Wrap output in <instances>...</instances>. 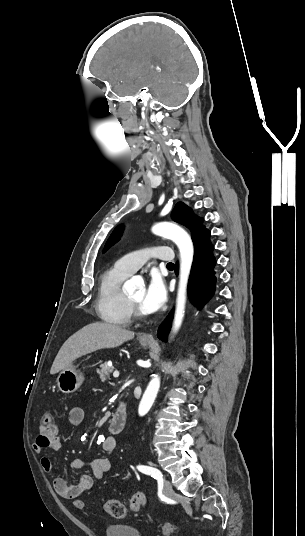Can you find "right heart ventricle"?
<instances>
[{"label":"right heart ventricle","mask_w":305,"mask_h":536,"mask_svg":"<svg viewBox=\"0 0 305 536\" xmlns=\"http://www.w3.org/2000/svg\"><path fill=\"white\" fill-rule=\"evenodd\" d=\"M129 276L116 267L102 275L96 298V309L102 320L121 327L131 324L132 311L121 289L122 282Z\"/></svg>","instance_id":"obj_1"}]
</instances>
